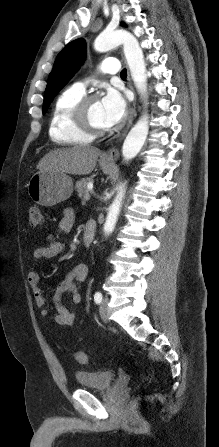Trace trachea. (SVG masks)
Masks as SVG:
<instances>
[{
    "mask_svg": "<svg viewBox=\"0 0 219 447\" xmlns=\"http://www.w3.org/2000/svg\"><path fill=\"white\" fill-rule=\"evenodd\" d=\"M120 76H121V78H126V76H127V70H126V69H123V70L121 71V73H120Z\"/></svg>",
    "mask_w": 219,
    "mask_h": 447,
    "instance_id": "1",
    "label": "trachea"
}]
</instances>
